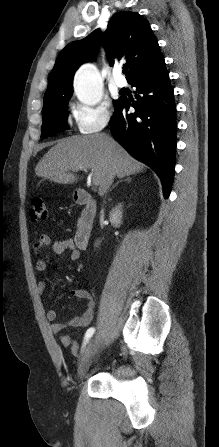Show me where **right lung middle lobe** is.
<instances>
[{
	"mask_svg": "<svg viewBox=\"0 0 219 447\" xmlns=\"http://www.w3.org/2000/svg\"><path fill=\"white\" fill-rule=\"evenodd\" d=\"M71 95H59L44 100L42 109L43 124L41 138L67 129V105ZM118 100L114 101V105Z\"/></svg>",
	"mask_w": 219,
	"mask_h": 447,
	"instance_id": "obj_1",
	"label": "right lung middle lobe"
}]
</instances>
